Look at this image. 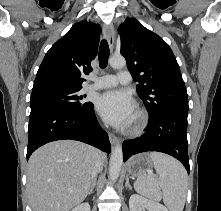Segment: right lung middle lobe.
<instances>
[{"label": "right lung middle lobe", "mask_w": 221, "mask_h": 211, "mask_svg": "<svg viewBox=\"0 0 221 211\" xmlns=\"http://www.w3.org/2000/svg\"><path fill=\"white\" fill-rule=\"evenodd\" d=\"M81 88H47L32 91L30 104L31 113L45 108L81 109L91 102L83 101L78 95Z\"/></svg>", "instance_id": "dd1d6c3e"}]
</instances>
